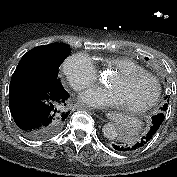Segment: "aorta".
<instances>
[{
	"instance_id": "obj_1",
	"label": "aorta",
	"mask_w": 177,
	"mask_h": 177,
	"mask_svg": "<svg viewBox=\"0 0 177 177\" xmlns=\"http://www.w3.org/2000/svg\"><path fill=\"white\" fill-rule=\"evenodd\" d=\"M103 135L108 139H115L118 135V128L112 123H107L102 128Z\"/></svg>"
}]
</instances>
